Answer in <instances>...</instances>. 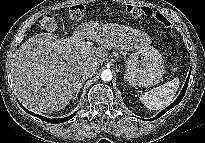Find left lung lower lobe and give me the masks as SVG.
I'll use <instances>...</instances> for the list:
<instances>
[{"mask_svg":"<svg viewBox=\"0 0 205 143\" xmlns=\"http://www.w3.org/2000/svg\"><path fill=\"white\" fill-rule=\"evenodd\" d=\"M189 77H190V74H189ZM189 77L179 95V97L170 105L168 106L166 109H164L163 111H161L156 117H154L152 120H155L159 117H161L164 113H166L167 111H169L170 109H172L173 107H175L184 97L185 93H186V89H187V86H188V82H189Z\"/></svg>","mask_w":205,"mask_h":143,"instance_id":"0a47b994","label":"left lung lower lobe"}]
</instances>
